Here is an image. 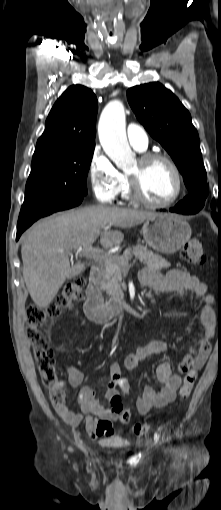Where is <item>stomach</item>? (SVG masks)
<instances>
[{
  "label": "stomach",
  "instance_id": "0dacf381",
  "mask_svg": "<svg viewBox=\"0 0 221 510\" xmlns=\"http://www.w3.org/2000/svg\"><path fill=\"white\" fill-rule=\"evenodd\" d=\"M142 232L147 245L164 254L176 253L191 237L190 225L182 217L173 214H158L147 219Z\"/></svg>",
  "mask_w": 221,
  "mask_h": 510
}]
</instances>
